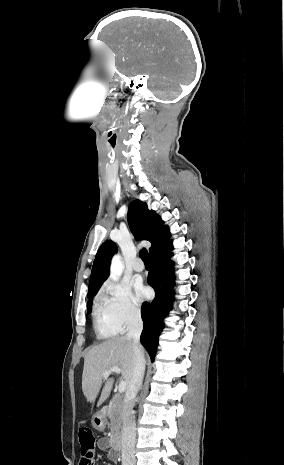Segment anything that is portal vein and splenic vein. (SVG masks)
Masks as SVG:
<instances>
[{"label":"portal vein and splenic vein","instance_id":"18ae733b","mask_svg":"<svg viewBox=\"0 0 284 465\" xmlns=\"http://www.w3.org/2000/svg\"><path fill=\"white\" fill-rule=\"evenodd\" d=\"M111 373H117V375H120L122 371L121 369H119V367H111V369H107V371H105V373H102V375L103 377H109ZM126 387L127 383H125V381H121V383H119L118 393H124Z\"/></svg>","mask_w":284,"mask_h":465}]
</instances>
